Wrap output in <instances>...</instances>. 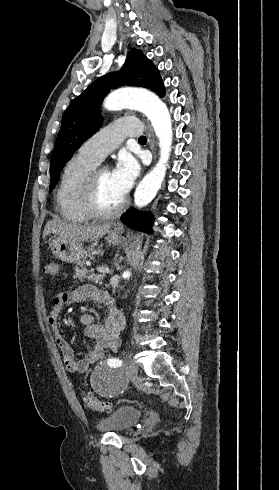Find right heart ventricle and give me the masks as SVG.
Returning a JSON list of instances; mask_svg holds the SVG:
<instances>
[{
    "instance_id": "obj_1",
    "label": "right heart ventricle",
    "mask_w": 279,
    "mask_h": 490,
    "mask_svg": "<svg viewBox=\"0 0 279 490\" xmlns=\"http://www.w3.org/2000/svg\"><path fill=\"white\" fill-rule=\"evenodd\" d=\"M97 166L93 161L77 153L64 165L58 190L57 203L64 220L72 224H83L92 219L84 205L87 180Z\"/></svg>"
}]
</instances>
